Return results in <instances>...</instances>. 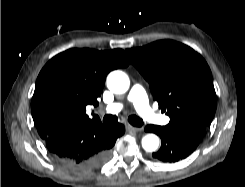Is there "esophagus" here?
Wrapping results in <instances>:
<instances>
[{
	"mask_svg": "<svg viewBox=\"0 0 245 187\" xmlns=\"http://www.w3.org/2000/svg\"><path fill=\"white\" fill-rule=\"evenodd\" d=\"M126 130L129 131V132H139V131H142L143 129L134 127V126H132L130 124H127L126 125Z\"/></svg>",
	"mask_w": 245,
	"mask_h": 187,
	"instance_id": "obj_1",
	"label": "esophagus"
}]
</instances>
